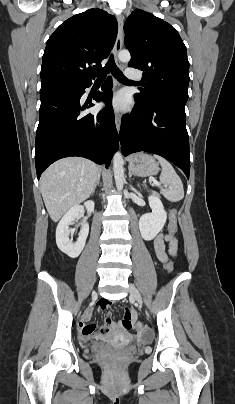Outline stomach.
Segmentation results:
<instances>
[{
    "label": "stomach",
    "instance_id": "stomach-1",
    "mask_svg": "<svg viewBox=\"0 0 235 404\" xmlns=\"http://www.w3.org/2000/svg\"><path fill=\"white\" fill-rule=\"evenodd\" d=\"M129 171L138 176H153L159 171L158 163L155 159L145 153H137L129 158Z\"/></svg>",
    "mask_w": 235,
    "mask_h": 404
}]
</instances>
